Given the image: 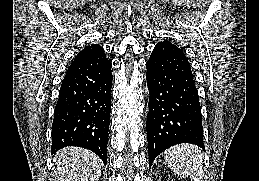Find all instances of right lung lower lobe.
Segmentation results:
<instances>
[{"label": "right lung lower lobe", "instance_id": "1", "mask_svg": "<svg viewBox=\"0 0 259 181\" xmlns=\"http://www.w3.org/2000/svg\"><path fill=\"white\" fill-rule=\"evenodd\" d=\"M111 66L104 51L71 63L54 111L52 153L67 146L83 147L95 152L106 164Z\"/></svg>", "mask_w": 259, "mask_h": 181}]
</instances>
